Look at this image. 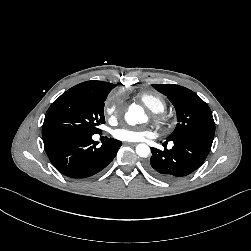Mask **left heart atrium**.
Here are the masks:
<instances>
[{
	"instance_id": "39dd6f15",
	"label": "left heart atrium",
	"mask_w": 251,
	"mask_h": 251,
	"mask_svg": "<svg viewBox=\"0 0 251 251\" xmlns=\"http://www.w3.org/2000/svg\"><path fill=\"white\" fill-rule=\"evenodd\" d=\"M150 130L135 128H120L115 131V137L121 141L138 142L151 135Z\"/></svg>"
}]
</instances>
